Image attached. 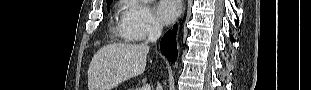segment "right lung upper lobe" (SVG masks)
<instances>
[{
	"label": "right lung upper lobe",
	"instance_id": "cb5924a9",
	"mask_svg": "<svg viewBox=\"0 0 311 90\" xmlns=\"http://www.w3.org/2000/svg\"><path fill=\"white\" fill-rule=\"evenodd\" d=\"M106 1H108V3H109L111 0H106Z\"/></svg>",
	"mask_w": 311,
	"mask_h": 90
}]
</instances>
